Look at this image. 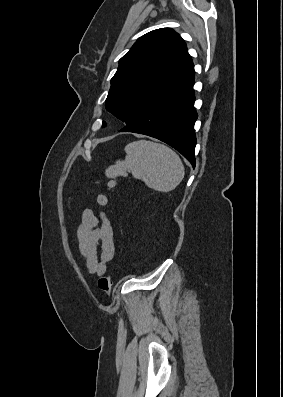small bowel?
<instances>
[{
    "mask_svg": "<svg viewBox=\"0 0 283 397\" xmlns=\"http://www.w3.org/2000/svg\"><path fill=\"white\" fill-rule=\"evenodd\" d=\"M77 239L88 271L98 276L105 274L116 250V235L110 220L103 213L83 210Z\"/></svg>",
    "mask_w": 283,
    "mask_h": 397,
    "instance_id": "1",
    "label": "small bowel"
}]
</instances>
